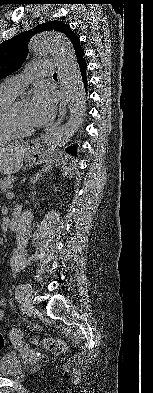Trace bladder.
<instances>
[{
  "mask_svg": "<svg viewBox=\"0 0 153 393\" xmlns=\"http://www.w3.org/2000/svg\"><path fill=\"white\" fill-rule=\"evenodd\" d=\"M23 373V366L15 352H7L0 357V376L5 378L18 377Z\"/></svg>",
  "mask_w": 153,
  "mask_h": 393,
  "instance_id": "31cf9c89",
  "label": "bladder"
}]
</instances>
